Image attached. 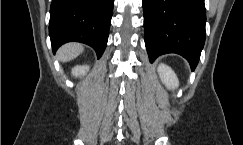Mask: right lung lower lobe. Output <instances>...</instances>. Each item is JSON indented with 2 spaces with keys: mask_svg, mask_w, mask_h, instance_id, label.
<instances>
[{
  "mask_svg": "<svg viewBox=\"0 0 243 145\" xmlns=\"http://www.w3.org/2000/svg\"><path fill=\"white\" fill-rule=\"evenodd\" d=\"M114 0H52L49 35L53 52L64 43L82 42L93 47L98 58L108 40Z\"/></svg>",
  "mask_w": 243,
  "mask_h": 145,
  "instance_id": "right-lung-lower-lobe-1",
  "label": "right lung lower lobe"
}]
</instances>
